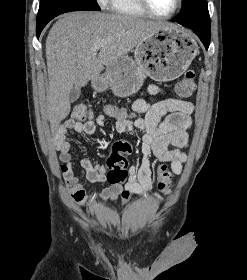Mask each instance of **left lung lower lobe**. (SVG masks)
<instances>
[{"label":"left lung lower lobe","mask_w":247,"mask_h":280,"mask_svg":"<svg viewBox=\"0 0 247 280\" xmlns=\"http://www.w3.org/2000/svg\"><path fill=\"white\" fill-rule=\"evenodd\" d=\"M177 23H179L177 20H175ZM180 24V23H179ZM182 25V24H181ZM184 26V25H183ZM190 29H192L194 31V33L200 38V40L202 41V43L204 44L205 48L208 49L209 44H210V37H211V31L207 32V31H203L200 29H197L195 27H189Z\"/></svg>","instance_id":"1"}]
</instances>
